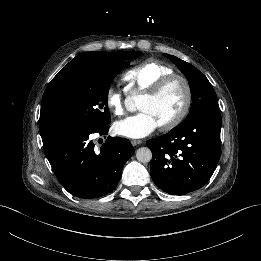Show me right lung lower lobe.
<instances>
[{"label": "right lung lower lobe", "instance_id": "1", "mask_svg": "<svg viewBox=\"0 0 261 261\" xmlns=\"http://www.w3.org/2000/svg\"><path fill=\"white\" fill-rule=\"evenodd\" d=\"M108 130L109 124L94 132L69 130L44 145L57 180L73 196L99 198L116 188L134 149L128 139L109 136L100 150H94L90 135H106Z\"/></svg>", "mask_w": 261, "mask_h": 261}]
</instances>
